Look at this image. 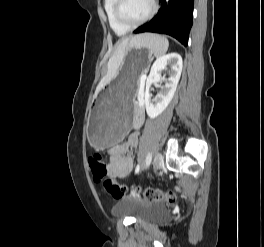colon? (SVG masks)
Listing matches in <instances>:
<instances>
[{"instance_id": "5ec220e1", "label": "colon", "mask_w": 264, "mask_h": 247, "mask_svg": "<svg viewBox=\"0 0 264 247\" xmlns=\"http://www.w3.org/2000/svg\"><path fill=\"white\" fill-rule=\"evenodd\" d=\"M88 164L92 172V178L97 183H102L103 188L107 194L113 198H123L126 196H137L150 201H166L168 203H174L176 195L173 192H165L156 188H128L124 185H119L115 181L108 179V165L104 158L94 153L88 157Z\"/></svg>"}]
</instances>
